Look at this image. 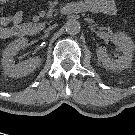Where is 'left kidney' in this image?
<instances>
[{"instance_id":"left-kidney-1","label":"left kidney","mask_w":135,"mask_h":135,"mask_svg":"<svg viewBox=\"0 0 135 135\" xmlns=\"http://www.w3.org/2000/svg\"><path fill=\"white\" fill-rule=\"evenodd\" d=\"M113 42L119 47L122 56L116 60L109 57L105 47L97 48V57L99 62L102 63L105 69L108 70H124L131 66L133 51L135 49L132 39L123 32L115 33Z\"/></svg>"}]
</instances>
